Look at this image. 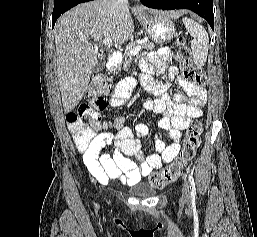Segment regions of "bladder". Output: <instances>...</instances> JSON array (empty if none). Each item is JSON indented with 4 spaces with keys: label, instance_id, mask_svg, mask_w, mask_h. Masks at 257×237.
Wrapping results in <instances>:
<instances>
[{
    "label": "bladder",
    "instance_id": "1",
    "mask_svg": "<svg viewBox=\"0 0 257 237\" xmlns=\"http://www.w3.org/2000/svg\"><path fill=\"white\" fill-rule=\"evenodd\" d=\"M132 192L137 197L149 198L156 194V189L147 184L139 183L132 187Z\"/></svg>",
    "mask_w": 257,
    "mask_h": 237
}]
</instances>
